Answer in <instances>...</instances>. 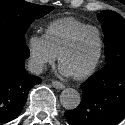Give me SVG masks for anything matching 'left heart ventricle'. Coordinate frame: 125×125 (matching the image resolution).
<instances>
[{"label": "left heart ventricle", "instance_id": "b2bd125f", "mask_svg": "<svg viewBox=\"0 0 125 125\" xmlns=\"http://www.w3.org/2000/svg\"><path fill=\"white\" fill-rule=\"evenodd\" d=\"M99 48L98 35L94 30L83 32L74 45L63 55L61 64L71 75L86 71L93 63Z\"/></svg>", "mask_w": 125, "mask_h": 125}]
</instances>
